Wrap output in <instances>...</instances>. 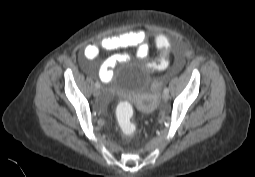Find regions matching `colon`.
I'll use <instances>...</instances> for the list:
<instances>
[{"label":"colon","instance_id":"1","mask_svg":"<svg viewBox=\"0 0 255 177\" xmlns=\"http://www.w3.org/2000/svg\"><path fill=\"white\" fill-rule=\"evenodd\" d=\"M152 42L159 50L157 61L145 60L144 64L151 71H165L170 61L173 59L172 45L164 30L155 32ZM134 110L130 103L121 102L116 109V119L121 132L126 136H131L136 130L133 121Z\"/></svg>","mask_w":255,"mask_h":177}]
</instances>
